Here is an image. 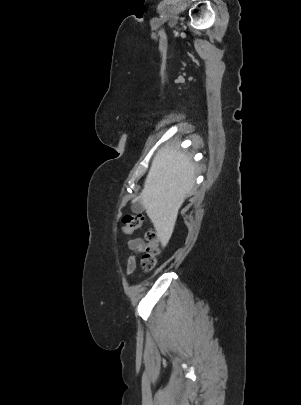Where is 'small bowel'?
<instances>
[{"label": "small bowel", "instance_id": "1", "mask_svg": "<svg viewBox=\"0 0 301 405\" xmlns=\"http://www.w3.org/2000/svg\"><path fill=\"white\" fill-rule=\"evenodd\" d=\"M127 245L133 251L132 255L129 256L126 264V272L130 274L136 268L137 257L144 251L146 244L142 239L134 238L130 239L127 242Z\"/></svg>", "mask_w": 301, "mask_h": 405}]
</instances>
